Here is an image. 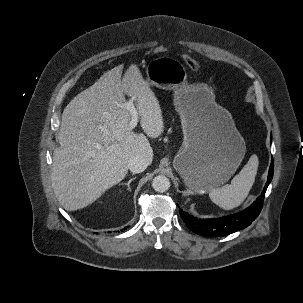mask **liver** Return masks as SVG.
I'll return each mask as SVG.
<instances>
[{"mask_svg": "<svg viewBox=\"0 0 303 303\" xmlns=\"http://www.w3.org/2000/svg\"><path fill=\"white\" fill-rule=\"evenodd\" d=\"M103 74L66 106L54 150L52 187L67 211L86 207L128 173V160L140 155L151 164L147 137L129 130L131 114L125 94L135 100L140 125L151 138L164 130L161 107L140 70L131 64ZM100 145L101 148H97Z\"/></svg>", "mask_w": 303, "mask_h": 303, "instance_id": "1", "label": "liver"}]
</instances>
